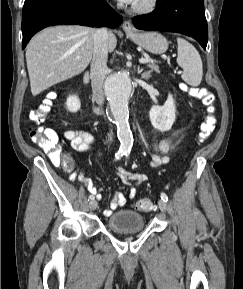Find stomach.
Here are the masks:
<instances>
[{
    "mask_svg": "<svg viewBox=\"0 0 243 289\" xmlns=\"http://www.w3.org/2000/svg\"><path fill=\"white\" fill-rule=\"evenodd\" d=\"M135 44L143 47L146 51L153 54L164 53L168 48L167 39L158 32H143L127 34Z\"/></svg>",
    "mask_w": 243,
    "mask_h": 289,
    "instance_id": "1",
    "label": "stomach"
}]
</instances>
